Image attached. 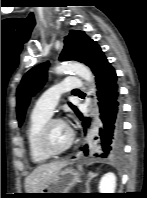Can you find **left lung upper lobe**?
Masks as SVG:
<instances>
[{
  "mask_svg": "<svg viewBox=\"0 0 147 198\" xmlns=\"http://www.w3.org/2000/svg\"><path fill=\"white\" fill-rule=\"evenodd\" d=\"M91 40L83 31L71 30L65 37L63 50L60 53L59 60H76L86 64L91 45ZM48 62L42 63L30 69L23 77L21 84L17 89V118L19 126L22 125L29 105L30 98L35 95L44 85L47 79ZM70 107L79 114L75 106L69 103Z\"/></svg>",
  "mask_w": 147,
  "mask_h": 198,
  "instance_id": "left-lung-upper-lobe-1",
  "label": "left lung upper lobe"
}]
</instances>
